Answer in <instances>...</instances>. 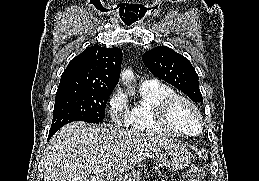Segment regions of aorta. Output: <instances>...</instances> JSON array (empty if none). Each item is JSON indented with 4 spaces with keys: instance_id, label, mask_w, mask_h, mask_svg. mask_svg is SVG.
Masks as SVG:
<instances>
[{
    "instance_id": "obj_1",
    "label": "aorta",
    "mask_w": 259,
    "mask_h": 181,
    "mask_svg": "<svg viewBox=\"0 0 259 181\" xmlns=\"http://www.w3.org/2000/svg\"><path fill=\"white\" fill-rule=\"evenodd\" d=\"M132 78H133V72L131 70H125L121 74V79L124 82V84H128Z\"/></svg>"
}]
</instances>
